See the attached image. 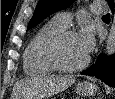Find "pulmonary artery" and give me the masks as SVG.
Here are the masks:
<instances>
[{
	"label": "pulmonary artery",
	"mask_w": 115,
	"mask_h": 99,
	"mask_svg": "<svg viewBox=\"0 0 115 99\" xmlns=\"http://www.w3.org/2000/svg\"><path fill=\"white\" fill-rule=\"evenodd\" d=\"M90 11L93 14H101L107 11V7L103 4V2L95 1L90 7ZM53 21L59 24L60 26L66 28L71 21V16L69 13L61 12L55 15Z\"/></svg>",
	"instance_id": "obj_1"
}]
</instances>
